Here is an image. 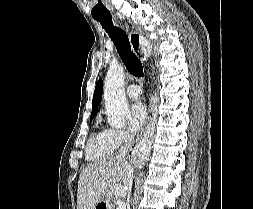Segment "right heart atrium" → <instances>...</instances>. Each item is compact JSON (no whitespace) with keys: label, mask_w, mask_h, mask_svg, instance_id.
Returning <instances> with one entry per match:
<instances>
[{"label":"right heart atrium","mask_w":253,"mask_h":209,"mask_svg":"<svg viewBox=\"0 0 253 209\" xmlns=\"http://www.w3.org/2000/svg\"><path fill=\"white\" fill-rule=\"evenodd\" d=\"M106 138L109 144L115 149L131 140V135L124 129L110 127L106 130Z\"/></svg>","instance_id":"d8ad5b80"}]
</instances>
